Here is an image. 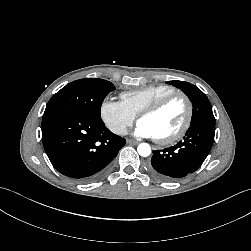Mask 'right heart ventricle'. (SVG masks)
<instances>
[{"instance_id": "1", "label": "right heart ventricle", "mask_w": 251, "mask_h": 251, "mask_svg": "<svg viewBox=\"0 0 251 251\" xmlns=\"http://www.w3.org/2000/svg\"><path fill=\"white\" fill-rule=\"evenodd\" d=\"M175 91L177 89L174 86L157 84L139 90L123 92L120 98L127 110L137 116L147 107Z\"/></svg>"}]
</instances>
